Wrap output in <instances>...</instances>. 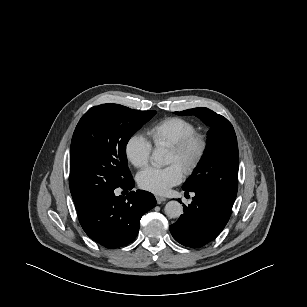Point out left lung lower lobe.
Wrapping results in <instances>:
<instances>
[{"label":"left lung lower lobe","instance_id":"1","mask_svg":"<svg viewBox=\"0 0 307 307\" xmlns=\"http://www.w3.org/2000/svg\"><path fill=\"white\" fill-rule=\"evenodd\" d=\"M195 193L184 214L170 225L173 238L180 244L198 248L215 239L227 224L232 207L207 191ZM188 193V191H186ZM181 203V200L178 199Z\"/></svg>","mask_w":307,"mask_h":307}]
</instances>
